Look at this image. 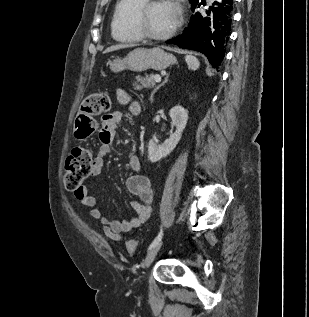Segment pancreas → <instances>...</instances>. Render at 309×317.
<instances>
[{"label": "pancreas", "instance_id": "obj_1", "mask_svg": "<svg viewBox=\"0 0 309 317\" xmlns=\"http://www.w3.org/2000/svg\"><path fill=\"white\" fill-rule=\"evenodd\" d=\"M156 75H146L145 77H141V76H138L136 77V81L133 82V87L135 90H142L144 88H152L155 86L156 82L154 80V77Z\"/></svg>", "mask_w": 309, "mask_h": 317}]
</instances>
